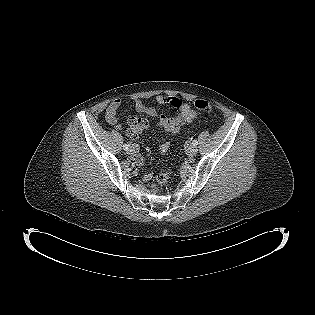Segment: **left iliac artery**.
Wrapping results in <instances>:
<instances>
[{"label":"left iliac artery","mask_w":315,"mask_h":315,"mask_svg":"<svg viewBox=\"0 0 315 315\" xmlns=\"http://www.w3.org/2000/svg\"><path fill=\"white\" fill-rule=\"evenodd\" d=\"M192 144H193L194 146H197V145H198V141H197V140H193Z\"/></svg>","instance_id":"left-iliac-artery-1"}]
</instances>
